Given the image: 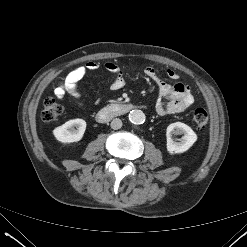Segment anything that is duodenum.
Wrapping results in <instances>:
<instances>
[{
	"instance_id": "1",
	"label": "duodenum",
	"mask_w": 247,
	"mask_h": 247,
	"mask_svg": "<svg viewBox=\"0 0 247 247\" xmlns=\"http://www.w3.org/2000/svg\"><path fill=\"white\" fill-rule=\"evenodd\" d=\"M134 109V105L129 103H112L100 109L96 115L99 122L104 123L110 119L122 116Z\"/></svg>"
}]
</instances>
